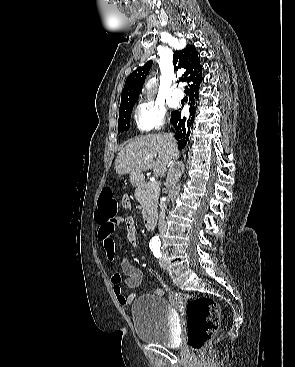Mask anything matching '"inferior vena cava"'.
Returning a JSON list of instances; mask_svg holds the SVG:
<instances>
[{
  "label": "inferior vena cava",
  "instance_id": "obj_1",
  "mask_svg": "<svg viewBox=\"0 0 295 367\" xmlns=\"http://www.w3.org/2000/svg\"><path fill=\"white\" fill-rule=\"evenodd\" d=\"M167 139H168L170 148H173L176 144L174 134L173 133L167 134ZM160 209H161V212L159 215L158 226H159V230L163 231L165 229V210H166V204L164 202H160Z\"/></svg>",
  "mask_w": 295,
  "mask_h": 367
}]
</instances>
